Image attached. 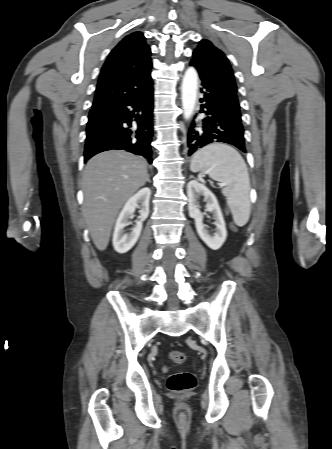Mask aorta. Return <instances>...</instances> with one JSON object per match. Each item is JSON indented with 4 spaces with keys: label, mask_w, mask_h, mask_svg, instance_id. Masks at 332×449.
Masks as SVG:
<instances>
[{
    "label": "aorta",
    "mask_w": 332,
    "mask_h": 449,
    "mask_svg": "<svg viewBox=\"0 0 332 449\" xmlns=\"http://www.w3.org/2000/svg\"><path fill=\"white\" fill-rule=\"evenodd\" d=\"M197 89H198V75L193 67H189L184 74L182 85H181V100L183 115L186 120L190 119L192 116L196 99H197Z\"/></svg>",
    "instance_id": "1"
}]
</instances>
